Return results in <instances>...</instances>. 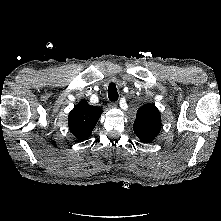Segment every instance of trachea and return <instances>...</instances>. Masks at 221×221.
Returning a JSON list of instances; mask_svg holds the SVG:
<instances>
[{
    "label": "trachea",
    "instance_id": "trachea-1",
    "mask_svg": "<svg viewBox=\"0 0 221 221\" xmlns=\"http://www.w3.org/2000/svg\"><path fill=\"white\" fill-rule=\"evenodd\" d=\"M118 97H119V95H118V91H117V88H116V84L115 83L109 84V86H108V98L111 101H117Z\"/></svg>",
    "mask_w": 221,
    "mask_h": 221
}]
</instances>
